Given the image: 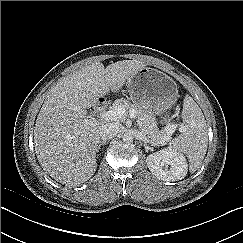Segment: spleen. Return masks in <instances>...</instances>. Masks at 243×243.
Wrapping results in <instances>:
<instances>
[{"instance_id": "1", "label": "spleen", "mask_w": 243, "mask_h": 243, "mask_svg": "<svg viewBox=\"0 0 243 243\" xmlns=\"http://www.w3.org/2000/svg\"><path fill=\"white\" fill-rule=\"evenodd\" d=\"M183 133L175 138L169 149L184 153L189 159L190 172L200 168L208 146V129L204 115L190 96H185L182 110Z\"/></svg>"}]
</instances>
